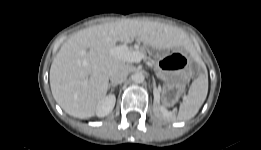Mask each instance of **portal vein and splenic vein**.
<instances>
[{
  "instance_id": "portal-vein-and-splenic-vein-1",
  "label": "portal vein and splenic vein",
  "mask_w": 261,
  "mask_h": 150,
  "mask_svg": "<svg viewBox=\"0 0 261 150\" xmlns=\"http://www.w3.org/2000/svg\"><path fill=\"white\" fill-rule=\"evenodd\" d=\"M110 55L126 62H140L145 55L140 51H129L127 45L114 46L110 49Z\"/></svg>"
}]
</instances>
